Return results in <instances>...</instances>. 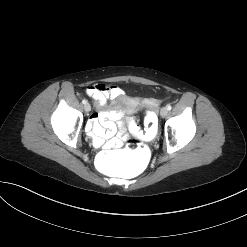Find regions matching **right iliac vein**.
<instances>
[{"instance_id": "1", "label": "right iliac vein", "mask_w": 247, "mask_h": 247, "mask_svg": "<svg viewBox=\"0 0 247 247\" xmlns=\"http://www.w3.org/2000/svg\"><path fill=\"white\" fill-rule=\"evenodd\" d=\"M84 110H85L86 112H90V111H91V106H90L89 103H86V104H85Z\"/></svg>"}]
</instances>
